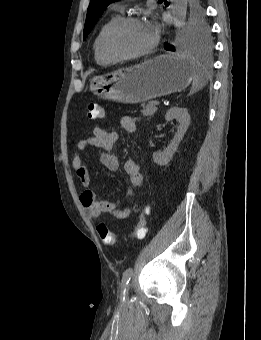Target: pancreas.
<instances>
[{"instance_id":"1","label":"pancreas","mask_w":261,"mask_h":340,"mask_svg":"<svg viewBox=\"0 0 261 340\" xmlns=\"http://www.w3.org/2000/svg\"><path fill=\"white\" fill-rule=\"evenodd\" d=\"M141 106H142L141 113L143 114V116L151 117L157 111V107H155V101H151L146 105L142 104Z\"/></svg>"}]
</instances>
